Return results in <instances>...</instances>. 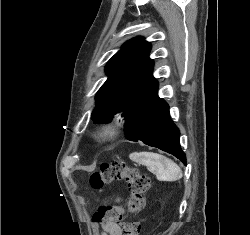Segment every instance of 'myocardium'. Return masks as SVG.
<instances>
[{"label":"myocardium","mask_w":250,"mask_h":235,"mask_svg":"<svg viewBox=\"0 0 250 235\" xmlns=\"http://www.w3.org/2000/svg\"><path fill=\"white\" fill-rule=\"evenodd\" d=\"M117 132V125L115 122H105L102 123L97 131V136L100 139L108 140L112 139Z\"/></svg>","instance_id":"obj_1"}]
</instances>
